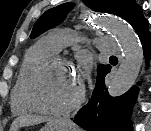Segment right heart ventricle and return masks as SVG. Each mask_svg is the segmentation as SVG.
Instances as JSON below:
<instances>
[{
  "label": "right heart ventricle",
  "mask_w": 151,
  "mask_h": 131,
  "mask_svg": "<svg viewBox=\"0 0 151 131\" xmlns=\"http://www.w3.org/2000/svg\"><path fill=\"white\" fill-rule=\"evenodd\" d=\"M55 53L46 39L38 41L25 53L10 96V107L14 114L24 115L33 111L25 97L27 77L37 63Z\"/></svg>",
  "instance_id": "1"
}]
</instances>
